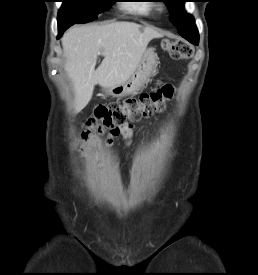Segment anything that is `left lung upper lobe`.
<instances>
[{
  "instance_id": "left-lung-upper-lobe-1",
  "label": "left lung upper lobe",
  "mask_w": 258,
  "mask_h": 275,
  "mask_svg": "<svg viewBox=\"0 0 258 275\" xmlns=\"http://www.w3.org/2000/svg\"><path fill=\"white\" fill-rule=\"evenodd\" d=\"M163 2L169 8L170 18L176 25L179 34L196 27L194 18L184 11V3L186 0H163Z\"/></svg>"
}]
</instances>
